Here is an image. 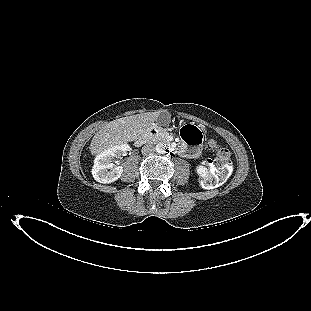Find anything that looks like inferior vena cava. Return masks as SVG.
Wrapping results in <instances>:
<instances>
[{
    "label": "inferior vena cava",
    "instance_id": "inferior-vena-cava-1",
    "mask_svg": "<svg viewBox=\"0 0 311 311\" xmlns=\"http://www.w3.org/2000/svg\"><path fill=\"white\" fill-rule=\"evenodd\" d=\"M155 152V148L153 145L151 144H146L142 147V153L144 155H149V154H153Z\"/></svg>",
    "mask_w": 311,
    "mask_h": 311
}]
</instances>
